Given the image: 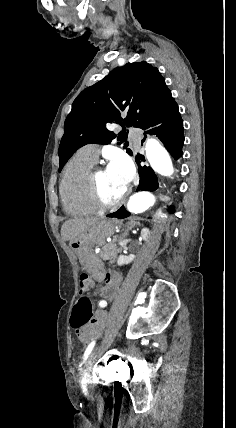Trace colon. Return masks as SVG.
Masks as SVG:
<instances>
[{
  "mask_svg": "<svg viewBox=\"0 0 236 428\" xmlns=\"http://www.w3.org/2000/svg\"><path fill=\"white\" fill-rule=\"evenodd\" d=\"M93 285L94 283L89 276H81L80 293L82 296L75 305L70 319L71 327L76 332L81 331L87 324L94 322L92 305L88 297L89 292L93 289Z\"/></svg>",
  "mask_w": 236,
  "mask_h": 428,
  "instance_id": "1",
  "label": "colon"
}]
</instances>
